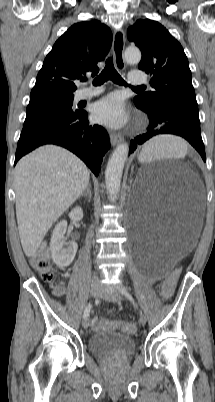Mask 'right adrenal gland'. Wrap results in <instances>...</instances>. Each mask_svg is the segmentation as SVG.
Listing matches in <instances>:
<instances>
[{
    "label": "right adrenal gland",
    "mask_w": 215,
    "mask_h": 402,
    "mask_svg": "<svg viewBox=\"0 0 215 402\" xmlns=\"http://www.w3.org/2000/svg\"><path fill=\"white\" fill-rule=\"evenodd\" d=\"M87 196H88L89 201H90L91 196H92V194H91V184L90 183H88L85 192H83V194L80 197H87Z\"/></svg>",
    "instance_id": "obj_1"
}]
</instances>
